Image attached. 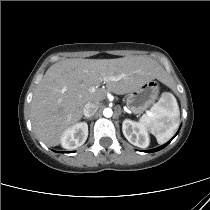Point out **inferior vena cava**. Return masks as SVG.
<instances>
[{"label": "inferior vena cava", "mask_w": 210, "mask_h": 210, "mask_svg": "<svg viewBox=\"0 0 210 210\" xmlns=\"http://www.w3.org/2000/svg\"><path fill=\"white\" fill-rule=\"evenodd\" d=\"M99 108V104L95 102H88L83 109V114L85 117L93 116Z\"/></svg>", "instance_id": "602c4592"}]
</instances>
